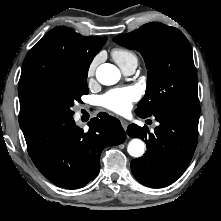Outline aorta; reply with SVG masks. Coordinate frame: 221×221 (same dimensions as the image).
Wrapping results in <instances>:
<instances>
[{
    "mask_svg": "<svg viewBox=\"0 0 221 221\" xmlns=\"http://www.w3.org/2000/svg\"><path fill=\"white\" fill-rule=\"evenodd\" d=\"M96 78L103 85H113L120 79L119 69L110 63L101 64L96 70ZM145 144L140 139H132L127 151L133 157H141L144 154Z\"/></svg>",
    "mask_w": 221,
    "mask_h": 221,
    "instance_id": "obj_1",
    "label": "aorta"
}]
</instances>
